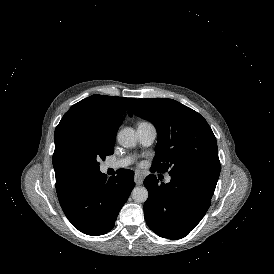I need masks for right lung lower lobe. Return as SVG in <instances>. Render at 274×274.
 <instances>
[{"instance_id":"right-lung-lower-lobe-1","label":"right lung lower lobe","mask_w":274,"mask_h":274,"mask_svg":"<svg viewBox=\"0 0 274 274\" xmlns=\"http://www.w3.org/2000/svg\"><path fill=\"white\" fill-rule=\"evenodd\" d=\"M134 173L121 169L107 180L100 171L79 176L58 191L60 205L68 220L82 233L102 235L109 232L133 187Z\"/></svg>"}]
</instances>
